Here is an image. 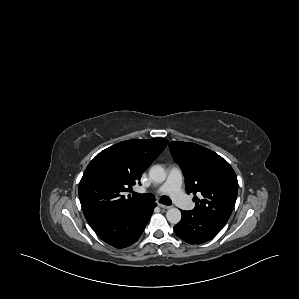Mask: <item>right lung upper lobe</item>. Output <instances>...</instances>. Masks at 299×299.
<instances>
[{"label": "right lung upper lobe", "instance_id": "obj_1", "mask_svg": "<svg viewBox=\"0 0 299 299\" xmlns=\"http://www.w3.org/2000/svg\"><path fill=\"white\" fill-rule=\"evenodd\" d=\"M167 143L163 138L123 141L89 163L79 183V198L90 225L142 204L123 193L140 180Z\"/></svg>", "mask_w": 299, "mask_h": 299}]
</instances>
